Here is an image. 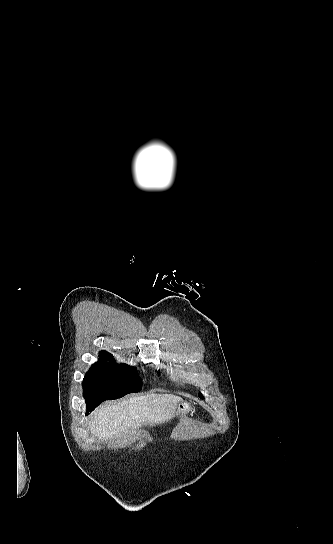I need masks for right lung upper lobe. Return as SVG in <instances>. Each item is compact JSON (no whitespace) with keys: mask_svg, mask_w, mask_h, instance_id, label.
I'll use <instances>...</instances> for the list:
<instances>
[{"mask_svg":"<svg viewBox=\"0 0 333 544\" xmlns=\"http://www.w3.org/2000/svg\"><path fill=\"white\" fill-rule=\"evenodd\" d=\"M106 353H107L106 351H100V355H104Z\"/></svg>","mask_w":333,"mask_h":544,"instance_id":"1","label":"right lung upper lobe"}]
</instances>
